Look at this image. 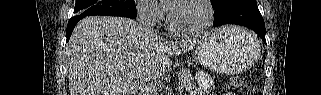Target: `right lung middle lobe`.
I'll use <instances>...</instances> for the list:
<instances>
[{
	"mask_svg": "<svg viewBox=\"0 0 321 95\" xmlns=\"http://www.w3.org/2000/svg\"><path fill=\"white\" fill-rule=\"evenodd\" d=\"M74 17L90 15L123 16L136 18L134 0H77Z\"/></svg>",
	"mask_w": 321,
	"mask_h": 95,
	"instance_id": "obj_1",
	"label": "right lung middle lobe"
}]
</instances>
